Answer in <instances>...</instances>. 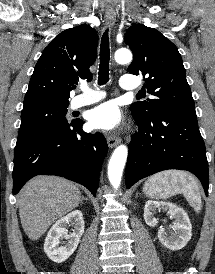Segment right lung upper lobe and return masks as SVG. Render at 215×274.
I'll use <instances>...</instances> for the list:
<instances>
[{
	"label": "right lung upper lobe",
	"mask_w": 215,
	"mask_h": 274,
	"mask_svg": "<svg viewBox=\"0 0 215 274\" xmlns=\"http://www.w3.org/2000/svg\"><path fill=\"white\" fill-rule=\"evenodd\" d=\"M98 36L82 24L58 34L44 49L31 76L23 108L45 103H67L79 79L91 80Z\"/></svg>",
	"instance_id": "obj_1"
}]
</instances>
